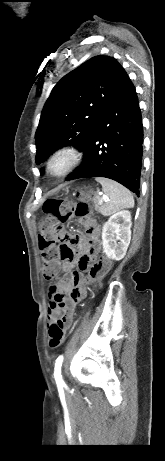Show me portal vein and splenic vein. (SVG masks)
Here are the masks:
<instances>
[{
  "label": "portal vein and splenic vein",
  "mask_w": 165,
  "mask_h": 461,
  "mask_svg": "<svg viewBox=\"0 0 165 461\" xmlns=\"http://www.w3.org/2000/svg\"><path fill=\"white\" fill-rule=\"evenodd\" d=\"M108 198L106 196H103L102 198L99 199L98 204L101 205L103 202H108Z\"/></svg>",
  "instance_id": "portal-vein-and-splenic-vein-1"
}]
</instances>
